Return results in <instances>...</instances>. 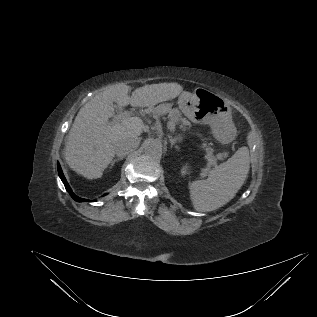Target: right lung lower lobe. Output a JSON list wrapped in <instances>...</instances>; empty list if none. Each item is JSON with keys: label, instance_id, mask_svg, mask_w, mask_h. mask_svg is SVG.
<instances>
[{"label": "right lung lower lobe", "instance_id": "obj_1", "mask_svg": "<svg viewBox=\"0 0 317 317\" xmlns=\"http://www.w3.org/2000/svg\"><path fill=\"white\" fill-rule=\"evenodd\" d=\"M57 168H58L59 176H60V178H61V180H62V182H63V184H64L66 190H67L68 193L71 195V197H72L75 201H77V202H84V201L89 202L90 200L82 199V198L76 196V195L72 192V189L70 188L69 184L67 183V181H66V179H65V177H64V175H63V172H62V169H61L59 163H57Z\"/></svg>", "mask_w": 317, "mask_h": 317}]
</instances>
